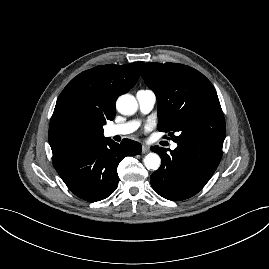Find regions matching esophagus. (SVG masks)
Segmentation results:
<instances>
[{"mask_svg":"<svg viewBox=\"0 0 269 269\" xmlns=\"http://www.w3.org/2000/svg\"><path fill=\"white\" fill-rule=\"evenodd\" d=\"M149 152V147L147 145H142V153H148Z\"/></svg>","mask_w":269,"mask_h":269,"instance_id":"esophagus-1","label":"esophagus"}]
</instances>
